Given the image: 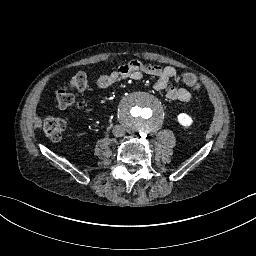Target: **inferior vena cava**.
Here are the masks:
<instances>
[{
    "label": "inferior vena cava",
    "instance_id": "inferior-vena-cava-1",
    "mask_svg": "<svg viewBox=\"0 0 256 256\" xmlns=\"http://www.w3.org/2000/svg\"><path fill=\"white\" fill-rule=\"evenodd\" d=\"M112 132H113V135H114V136H116V137H122V136H124V134H125V128L122 127L121 125H115V126L113 127Z\"/></svg>",
    "mask_w": 256,
    "mask_h": 256
}]
</instances>
